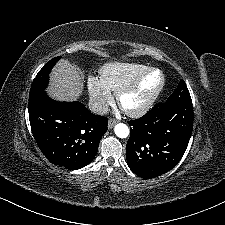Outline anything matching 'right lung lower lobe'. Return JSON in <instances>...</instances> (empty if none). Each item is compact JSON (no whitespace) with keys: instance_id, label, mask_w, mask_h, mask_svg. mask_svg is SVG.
Here are the masks:
<instances>
[{"instance_id":"obj_1","label":"right lung lower lobe","mask_w":225,"mask_h":225,"mask_svg":"<svg viewBox=\"0 0 225 225\" xmlns=\"http://www.w3.org/2000/svg\"><path fill=\"white\" fill-rule=\"evenodd\" d=\"M33 136L47 159L67 169H79L95 157L107 131V118L92 114L80 102H57L45 91L29 95Z\"/></svg>"}]
</instances>
